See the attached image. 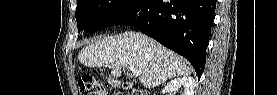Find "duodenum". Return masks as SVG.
Here are the masks:
<instances>
[{"label": "duodenum", "instance_id": "410a0bca", "mask_svg": "<svg viewBox=\"0 0 277 95\" xmlns=\"http://www.w3.org/2000/svg\"><path fill=\"white\" fill-rule=\"evenodd\" d=\"M126 86V88H130V86L129 85H125Z\"/></svg>", "mask_w": 277, "mask_h": 95}]
</instances>
